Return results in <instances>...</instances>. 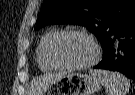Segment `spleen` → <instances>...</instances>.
I'll use <instances>...</instances> for the list:
<instances>
[{
  "instance_id": "spleen-1",
  "label": "spleen",
  "mask_w": 135,
  "mask_h": 95,
  "mask_svg": "<svg viewBox=\"0 0 135 95\" xmlns=\"http://www.w3.org/2000/svg\"><path fill=\"white\" fill-rule=\"evenodd\" d=\"M90 73L98 77L100 83L107 89L108 95H126L129 92V80L117 72L90 70Z\"/></svg>"
}]
</instances>
